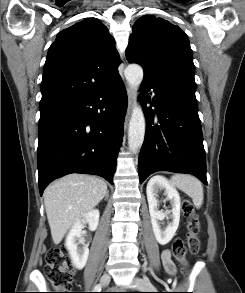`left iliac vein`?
Listing matches in <instances>:
<instances>
[{
	"mask_svg": "<svg viewBox=\"0 0 245 293\" xmlns=\"http://www.w3.org/2000/svg\"><path fill=\"white\" fill-rule=\"evenodd\" d=\"M133 284L135 285L136 289L139 290H146V288H154L150 281H146L140 278H134Z\"/></svg>",
	"mask_w": 245,
	"mask_h": 293,
	"instance_id": "4c4485c4",
	"label": "left iliac vein"
}]
</instances>
